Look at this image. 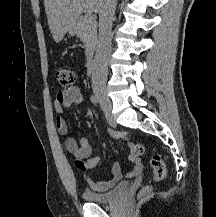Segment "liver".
<instances>
[{
    "label": "liver",
    "instance_id": "1",
    "mask_svg": "<svg viewBox=\"0 0 216 217\" xmlns=\"http://www.w3.org/2000/svg\"><path fill=\"white\" fill-rule=\"evenodd\" d=\"M103 0H44L52 37L59 43L66 32L75 26L83 11H100Z\"/></svg>",
    "mask_w": 216,
    "mask_h": 217
}]
</instances>
